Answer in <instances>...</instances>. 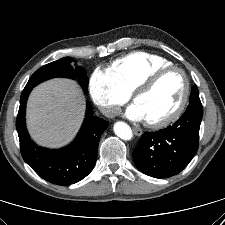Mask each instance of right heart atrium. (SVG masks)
I'll list each match as a JSON object with an SVG mask.
<instances>
[{
    "mask_svg": "<svg viewBox=\"0 0 225 225\" xmlns=\"http://www.w3.org/2000/svg\"><path fill=\"white\" fill-rule=\"evenodd\" d=\"M89 91L94 103L108 116H115L129 99L109 71L96 69L89 80Z\"/></svg>",
    "mask_w": 225,
    "mask_h": 225,
    "instance_id": "obj_1",
    "label": "right heart atrium"
}]
</instances>
